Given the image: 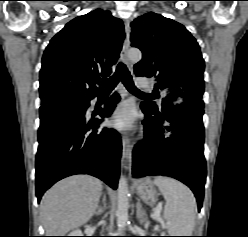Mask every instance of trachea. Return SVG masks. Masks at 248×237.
Returning a JSON list of instances; mask_svg holds the SVG:
<instances>
[{"label": "trachea", "instance_id": "obj_1", "mask_svg": "<svg viewBox=\"0 0 248 237\" xmlns=\"http://www.w3.org/2000/svg\"><path fill=\"white\" fill-rule=\"evenodd\" d=\"M120 81L123 82L127 90L131 93L141 96H151L150 94L141 92L134 86L130 72L123 63L118 64L116 72L110 78L97 80L96 82L100 85L101 92H107L112 91Z\"/></svg>", "mask_w": 248, "mask_h": 237}]
</instances>
